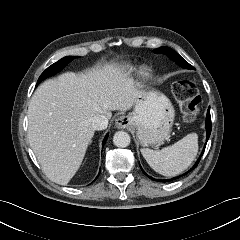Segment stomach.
I'll return each mask as SVG.
<instances>
[{"label":"stomach","mask_w":240,"mask_h":240,"mask_svg":"<svg viewBox=\"0 0 240 240\" xmlns=\"http://www.w3.org/2000/svg\"><path fill=\"white\" fill-rule=\"evenodd\" d=\"M175 116L170 100L157 91H143L128 115L143 146L162 143L169 137Z\"/></svg>","instance_id":"stomach-1"}]
</instances>
